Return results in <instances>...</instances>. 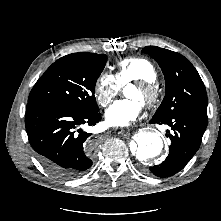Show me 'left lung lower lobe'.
I'll use <instances>...</instances> for the list:
<instances>
[{
    "label": "left lung lower lobe",
    "mask_w": 221,
    "mask_h": 221,
    "mask_svg": "<svg viewBox=\"0 0 221 221\" xmlns=\"http://www.w3.org/2000/svg\"><path fill=\"white\" fill-rule=\"evenodd\" d=\"M150 123L167 124L174 134H169V154L160 165L150 167L158 177H168L182 170L199 149L206 130L207 118L195 113H179L167 119H151Z\"/></svg>",
    "instance_id": "0a47b994"
}]
</instances>
